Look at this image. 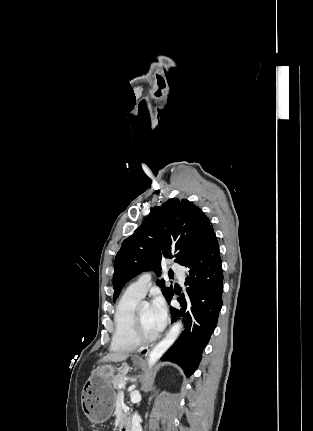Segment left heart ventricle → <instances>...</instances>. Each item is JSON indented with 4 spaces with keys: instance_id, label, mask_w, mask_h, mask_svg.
<instances>
[{
    "instance_id": "b2bd125f",
    "label": "left heart ventricle",
    "mask_w": 313,
    "mask_h": 431,
    "mask_svg": "<svg viewBox=\"0 0 313 431\" xmlns=\"http://www.w3.org/2000/svg\"><path fill=\"white\" fill-rule=\"evenodd\" d=\"M142 330L147 336H151L158 331L156 330L153 322V317L149 305H142L141 307Z\"/></svg>"
}]
</instances>
